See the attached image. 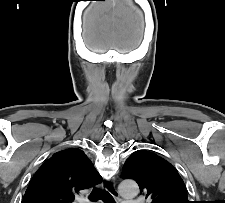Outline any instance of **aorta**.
I'll return each mask as SVG.
<instances>
[{
  "mask_svg": "<svg viewBox=\"0 0 225 203\" xmlns=\"http://www.w3.org/2000/svg\"><path fill=\"white\" fill-rule=\"evenodd\" d=\"M119 193L124 197H134L138 194L139 188L135 181L124 180L118 186Z\"/></svg>",
  "mask_w": 225,
  "mask_h": 203,
  "instance_id": "obj_1",
  "label": "aorta"
}]
</instances>
